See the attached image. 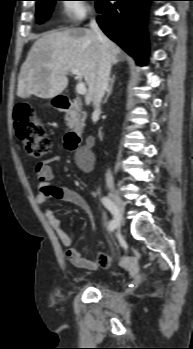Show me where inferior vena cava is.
Masks as SVG:
<instances>
[{
    "mask_svg": "<svg viewBox=\"0 0 193 349\" xmlns=\"http://www.w3.org/2000/svg\"><path fill=\"white\" fill-rule=\"evenodd\" d=\"M90 28L96 34L98 40L101 43L97 81L93 95V106L95 108V112H100V104L108 88V82L111 71V54L109 51L108 39L100 30L95 19L91 20ZM106 183L107 185L113 184V176L110 170H108L106 173Z\"/></svg>",
    "mask_w": 193,
    "mask_h": 349,
    "instance_id": "602c4592",
    "label": "inferior vena cava"
}]
</instances>
